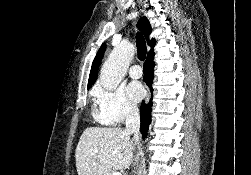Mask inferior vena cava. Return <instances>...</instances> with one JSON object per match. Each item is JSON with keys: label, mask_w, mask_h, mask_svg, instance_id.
<instances>
[{"label": "inferior vena cava", "mask_w": 251, "mask_h": 175, "mask_svg": "<svg viewBox=\"0 0 251 175\" xmlns=\"http://www.w3.org/2000/svg\"><path fill=\"white\" fill-rule=\"evenodd\" d=\"M125 131L126 133H134L132 141L134 143H139L141 137L139 133L140 129V115L139 109L136 105H129L126 109V119H125Z\"/></svg>", "instance_id": "inferior-vena-cava-1"}]
</instances>
